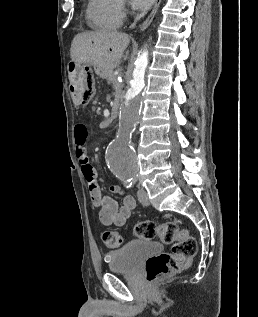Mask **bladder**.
<instances>
[{
  "mask_svg": "<svg viewBox=\"0 0 258 317\" xmlns=\"http://www.w3.org/2000/svg\"><path fill=\"white\" fill-rule=\"evenodd\" d=\"M163 247L160 243L133 240L123 247L113 250L107 254V262L111 271H135L145 260L162 253Z\"/></svg>",
  "mask_w": 258,
  "mask_h": 317,
  "instance_id": "1",
  "label": "bladder"
}]
</instances>
